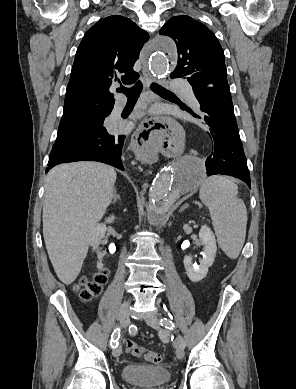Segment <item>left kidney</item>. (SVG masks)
Masks as SVG:
<instances>
[{
	"label": "left kidney",
	"mask_w": 296,
	"mask_h": 389,
	"mask_svg": "<svg viewBox=\"0 0 296 389\" xmlns=\"http://www.w3.org/2000/svg\"><path fill=\"white\" fill-rule=\"evenodd\" d=\"M199 238L204 246L202 253L203 257L200 260L199 265L193 264L192 257L188 255H186L183 260L188 278L195 283L206 277L208 269L212 266L217 252L215 236L207 225L201 227Z\"/></svg>",
	"instance_id": "5707ae66"
}]
</instances>
